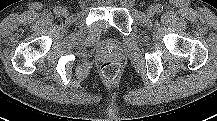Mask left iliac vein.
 Returning <instances> with one entry per match:
<instances>
[{"instance_id":"1","label":"left iliac vein","mask_w":217,"mask_h":121,"mask_svg":"<svg viewBox=\"0 0 217 121\" xmlns=\"http://www.w3.org/2000/svg\"><path fill=\"white\" fill-rule=\"evenodd\" d=\"M155 12H156V8L153 6H150L147 10V13L150 17L154 16Z\"/></svg>"}]
</instances>
